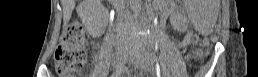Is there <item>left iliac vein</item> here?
<instances>
[{
    "mask_svg": "<svg viewBox=\"0 0 258 77\" xmlns=\"http://www.w3.org/2000/svg\"><path fill=\"white\" fill-rule=\"evenodd\" d=\"M133 63H135L139 68L151 72L153 71V66L151 64V59L144 55H139L135 60H133Z\"/></svg>",
    "mask_w": 258,
    "mask_h": 77,
    "instance_id": "4c4485c4",
    "label": "left iliac vein"
}]
</instances>
